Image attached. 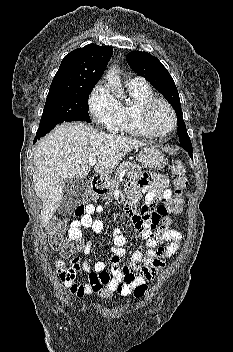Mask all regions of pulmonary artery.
<instances>
[{
	"mask_svg": "<svg viewBox=\"0 0 233 352\" xmlns=\"http://www.w3.org/2000/svg\"><path fill=\"white\" fill-rule=\"evenodd\" d=\"M128 83H145L144 80L140 77H134L129 80Z\"/></svg>",
	"mask_w": 233,
	"mask_h": 352,
	"instance_id": "obj_1",
	"label": "pulmonary artery"
}]
</instances>
